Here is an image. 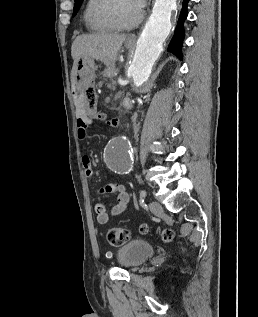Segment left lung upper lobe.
<instances>
[{"mask_svg":"<svg viewBox=\"0 0 258 317\" xmlns=\"http://www.w3.org/2000/svg\"><path fill=\"white\" fill-rule=\"evenodd\" d=\"M83 0H75V4H74V10H73V16L76 15V13L78 12L81 4H82Z\"/></svg>","mask_w":258,"mask_h":317,"instance_id":"1","label":"left lung upper lobe"}]
</instances>
